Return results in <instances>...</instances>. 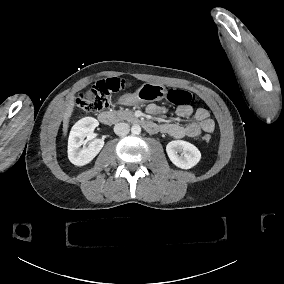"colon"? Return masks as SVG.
I'll return each mask as SVG.
<instances>
[{"label":"colon","mask_w":284,"mask_h":284,"mask_svg":"<svg viewBox=\"0 0 284 284\" xmlns=\"http://www.w3.org/2000/svg\"><path fill=\"white\" fill-rule=\"evenodd\" d=\"M126 86V82L120 78H107L100 83L98 87L83 91L78 97L81 102V108L88 112H98L106 108L108 96L111 93L118 92ZM167 101L174 108H190L195 103V96L192 92L183 88H176L169 92ZM205 141L210 140V136H203Z\"/></svg>","instance_id":"1"}]
</instances>
